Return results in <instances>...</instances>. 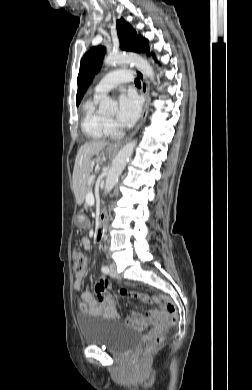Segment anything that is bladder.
<instances>
[{
  "mask_svg": "<svg viewBox=\"0 0 252 390\" xmlns=\"http://www.w3.org/2000/svg\"><path fill=\"white\" fill-rule=\"evenodd\" d=\"M83 341L122 354L142 341L140 334L116 321L94 315L78 316Z\"/></svg>",
  "mask_w": 252,
  "mask_h": 390,
  "instance_id": "1",
  "label": "bladder"
}]
</instances>
